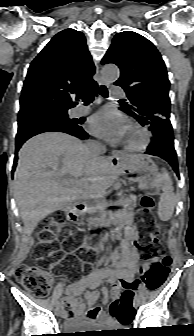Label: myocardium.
Segmentation results:
<instances>
[{"mask_svg": "<svg viewBox=\"0 0 194 336\" xmlns=\"http://www.w3.org/2000/svg\"><path fill=\"white\" fill-rule=\"evenodd\" d=\"M128 127L140 135V141L138 143H129L124 141L122 144L123 148L128 152H142L146 150L152 141L151 132L135 121H130L128 123Z\"/></svg>", "mask_w": 194, "mask_h": 336, "instance_id": "1", "label": "myocardium"}]
</instances>
